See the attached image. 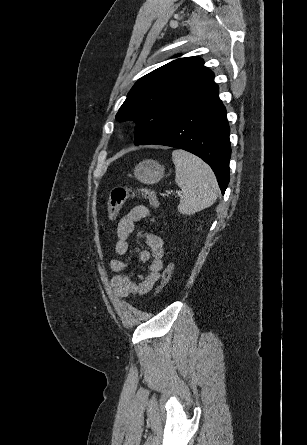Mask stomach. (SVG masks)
Returning <instances> with one entry per match:
<instances>
[{
	"mask_svg": "<svg viewBox=\"0 0 307 445\" xmlns=\"http://www.w3.org/2000/svg\"><path fill=\"white\" fill-rule=\"evenodd\" d=\"M164 170L163 164H159L157 160H152V158H146V160L136 164L134 176L140 182H144V184H155V182H159L163 178Z\"/></svg>",
	"mask_w": 307,
	"mask_h": 445,
	"instance_id": "stomach-1",
	"label": "stomach"
}]
</instances>
